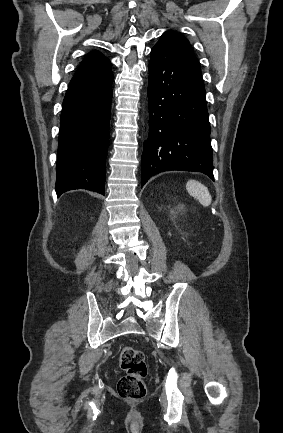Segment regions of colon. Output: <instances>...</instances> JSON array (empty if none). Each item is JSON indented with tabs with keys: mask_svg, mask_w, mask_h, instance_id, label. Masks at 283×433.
Returning <instances> with one entry per match:
<instances>
[{
	"mask_svg": "<svg viewBox=\"0 0 283 433\" xmlns=\"http://www.w3.org/2000/svg\"><path fill=\"white\" fill-rule=\"evenodd\" d=\"M119 365L124 374L117 384L118 395L127 400L143 398L146 394L144 379L147 375L143 352L132 346H123L119 352Z\"/></svg>",
	"mask_w": 283,
	"mask_h": 433,
	"instance_id": "obj_1",
	"label": "colon"
}]
</instances>
